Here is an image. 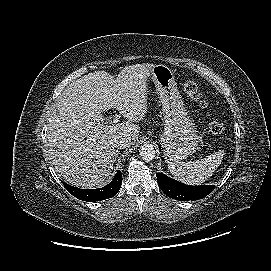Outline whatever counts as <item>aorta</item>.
I'll list each match as a JSON object with an SVG mask.
<instances>
[{
  "label": "aorta",
  "instance_id": "1",
  "mask_svg": "<svg viewBox=\"0 0 271 271\" xmlns=\"http://www.w3.org/2000/svg\"><path fill=\"white\" fill-rule=\"evenodd\" d=\"M140 156L144 160H152L155 158V149L151 144H143L139 150Z\"/></svg>",
  "mask_w": 271,
  "mask_h": 271
}]
</instances>
